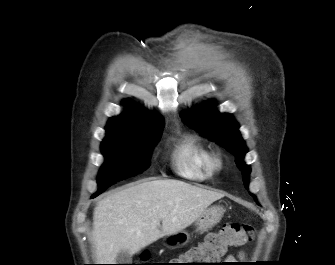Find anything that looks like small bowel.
Returning <instances> with one entry per match:
<instances>
[{
	"instance_id": "small-bowel-1",
	"label": "small bowel",
	"mask_w": 335,
	"mask_h": 265,
	"mask_svg": "<svg viewBox=\"0 0 335 265\" xmlns=\"http://www.w3.org/2000/svg\"><path fill=\"white\" fill-rule=\"evenodd\" d=\"M238 257H239L240 259H244V258H245V254H244L243 252H240L239 255H238ZM234 259H235V258H234V256H232V255H230V256L227 257V260H228V261H233Z\"/></svg>"
}]
</instances>
